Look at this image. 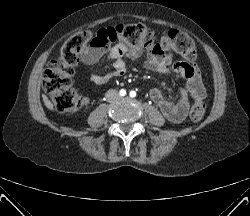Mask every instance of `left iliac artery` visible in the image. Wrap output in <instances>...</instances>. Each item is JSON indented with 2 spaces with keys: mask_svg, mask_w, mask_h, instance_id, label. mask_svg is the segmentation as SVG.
Listing matches in <instances>:
<instances>
[{
  "mask_svg": "<svg viewBox=\"0 0 250 216\" xmlns=\"http://www.w3.org/2000/svg\"><path fill=\"white\" fill-rule=\"evenodd\" d=\"M129 95H130V97H135L136 96V92L135 91H131Z\"/></svg>",
  "mask_w": 250,
  "mask_h": 216,
  "instance_id": "44dca946",
  "label": "left iliac artery"
}]
</instances>
